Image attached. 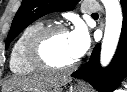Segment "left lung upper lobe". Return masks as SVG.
<instances>
[{
  "label": "left lung upper lobe",
  "instance_id": "left-lung-upper-lobe-1",
  "mask_svg": "<svg viewBox=\"0 0 127 92\" xmlns=\"http://www.w3.org/2000/svg\"><path fill=\"white\" fill-rule=\"evenodd\" d=\"M79 0H23L17 11L6 40V49L28 25L54 11H67Z\"/></svg>",
  "mask_w": 127,
  "mask_h": 92
}]
</instances>
